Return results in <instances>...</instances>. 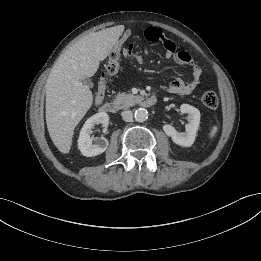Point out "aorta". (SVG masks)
<instances>
[{
  "instance_id": "aorta-1",
  "label": "aorta",
  "mask_w": 261,
  "mask_h": 261,
  "mask_svg": "<svg viewBox=\"0 0 261 261\" xmlns=\"http://www.w3.org/2000/svg\"><path fill=\"white\" fill-rule=\"evenodd\" d=\"M134 118L138 122H144L148 119V111L144 108H139L135 111Z\"/></svg>"
}]
</instances>
